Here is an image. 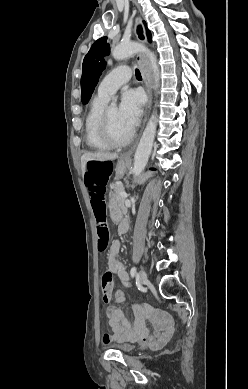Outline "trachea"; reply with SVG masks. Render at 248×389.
I'll use <instances>...</instances> for the list:
<instances>
[{"mask_svg":"<svg viewBox=\"0 0 248 389\" xmlns=\"http://www.w3.org/2000/svg\"><path fill=\"white\" fill-rule=\"evenodd\" d=\"M135 75H136V78H137L138 80H141V79H142L141 73H140V71H139L138 69H136Z\"/></svg>","mask_w":248,"mask_h":389,"instance_id":"trachea-1","label":"trachea"}]
</instances>
